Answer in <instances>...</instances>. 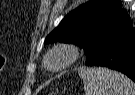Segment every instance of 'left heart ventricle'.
Listing matches in <instances>:
<instances>
[{"instance_id":"b2bd125f","label":"left heart ventricle","mask_w":135,"mask_h":95,"mask_svg":"<svg viewBox=\"0 0 135 95\" xmlns=\"http://www.w3.org/2000/svg\"><path fill=\"white\" fill-rule=\"evenodd\" d=\"M66 60V57L62 53L54 54L48 61V65L52 68L62 65Z\"/></svg>"}]
</instances>
